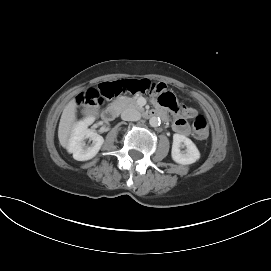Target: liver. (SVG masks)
I'll list each match as a JSON object with an SVG mask.
<instances>
[{
    "label": "liver",
    "instance_id": "liver-1",
    "mask_svg": "<svg viewBox=\"0 0 271 271\" xmlns=\"http://www.w3.org/2000/svg\"><path fill=\"white\" fill-rule=\"evenodd\" d=\"M76 107L77 103L73 99L64 108L58 129L59 142L64 148H68L72 129L76 121Z\"/></svg>",
    "mask_w": 271,
    "mask_h": 271
}]
</instances>
